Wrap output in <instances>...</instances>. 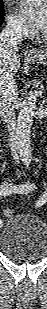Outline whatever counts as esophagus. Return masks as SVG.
Segmentation results:
<instances>
[{
    "mask_svg": "<svg viewBox=\"0 0 47 309\" xmlns=\"http://www.w3.org/2000/svg\"><path fill=\"white\" fill-rule=\"evenodd\" d=\"M26 53L28 55H36L38 53V51L35 48L30 46V47L27 48V52Z\"/></svg>",
    "mask_w": 47,
    "mask_h": 309,
    "instance_id": "obj_1",
    "label": "esophagus"
}]
</instances>
